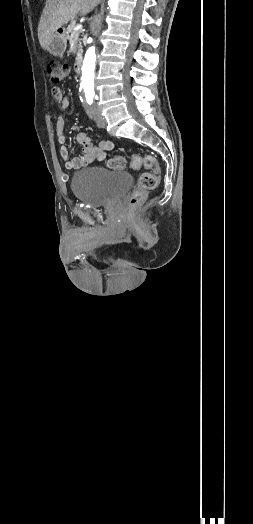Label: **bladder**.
<instances>
[{"label":"bladder","instance_id":"obj_1","mask_svg":"<svg viewBox=\"0 0 253 524\" xmlns=\"http://www.w3.org/2000/svg\"><path fill=\"white\" fill-rule=\"evenodd\" d=\"M131 185L129 173L113 172L98 166L75 172L71 182L74 197L90 206L110 204Z\"/></svg>","mask_w":253,"mask_h":524}]
</instances>
